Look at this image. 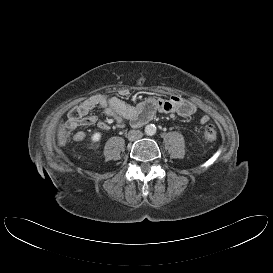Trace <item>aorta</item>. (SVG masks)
Wrapping results in <instances>:
<instances>
[{
	"instance_id": "1",
	"label": "aorta",
	"mask_w": 273,
	"mask_h": 273,
	"mask_svg": "<svg viewBox=\"0 0 273 273\" xmlns=\"http://www.w3.org/2000/svg\"><path fill=\"white\" fill-rule=\"evenodd\" d=\"M145 133L147 135H154L156 133V126L154 124H148L145 127Z\"/></svg>"
}]
</instances>
